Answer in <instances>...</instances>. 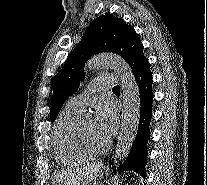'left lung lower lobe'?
Here are the masks:
<instances>
[{
	"label": "left lung lower lobe",
	"instance_id": "obj_1",
	"mask_svg": "<svg viewBox=\"0 0 207 185\" xmlns=\"http://www.w3.org/2000/svg\"><path fill=\"white\" fill-rule=\"evenodd\" d=\"M137 86L140 94V119L138 131L133 146L124 164L121 165L122 171L133 170L142 177L146 176V159L148 155L147 143L150 138L149 124L152 118V75L150 68H145L135 74Z\"/></svg>",
	"mask_w": 207,
	"mask_h": 185
}]
</instances>
